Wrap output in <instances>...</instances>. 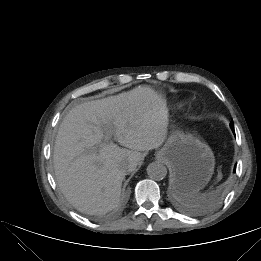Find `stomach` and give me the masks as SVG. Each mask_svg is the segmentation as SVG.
<instances>
[{
  "mask_svg": "<svg viewBox=\"0 0 261 261\" xmlns=\"http://www.w3.org/2000/svg\"><path fill=\"white\" fill-rule=\"evenodd\" d=\"M156 158L170 168V185L178 195L197 193L214 172L215 159L210 147L180 130L172 131Z\"/></svg>",
  "mask_w": 261,
  "mask_h": 261,
  "instance_id": "0dacf381",
  "label": "stomach"
}]
</instances>
